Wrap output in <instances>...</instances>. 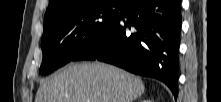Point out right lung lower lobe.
Masks as SVG:
<instances>
[{"instance_id": "right-lung-lower-lobe-1", "label": "right lung lower lobe", "mask_w": 221, "mask_h": 102, "mask_svg": "<svg viewBox=\"0 0 221 102\" xmlns=\"http://www.w3.org/2000/svg\"><path fill=\"white\" fill-rule=\"evenodd\" d=\"M179 0H125L117 21L73 61L100 60L165 83L178 94Z\"/></svg>"}]
</instances>
